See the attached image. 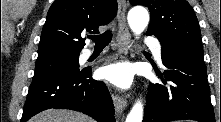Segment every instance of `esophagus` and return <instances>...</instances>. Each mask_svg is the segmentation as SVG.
Segmentation results:
<instances>
[{"mask_svg": "<svg viewBox=\"0 0 221 122\" xmlns=\"http://www.w3.org/2000/svg\"><path fill=\"white\" fill-rule=\"evenodd\" d=\"M126 9L127 3L125 0L118 1V35H117V44H118V53L122 57L128 54L130 48V32L126 22ZM112 100L114 106L118 113H122L127 107V99L124 96L117 94H112Z\"/></svg>", "mask_w": 221, "mask_h": 122, "instance_id": "obj_1", "label": "esophagus"}]
</instances>
